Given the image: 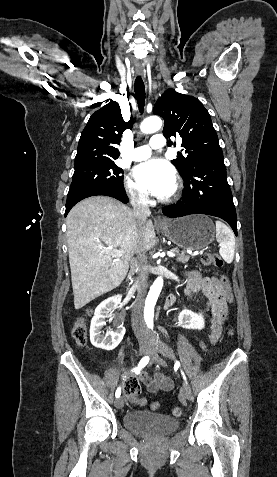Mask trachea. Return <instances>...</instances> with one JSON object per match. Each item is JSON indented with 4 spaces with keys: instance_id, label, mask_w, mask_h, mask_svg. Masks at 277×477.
I'll return each mask as SVG.
<instances>
[{
    "instance_id": "3493384b",
    "label": "trachea",
    "mask_w": 277,
    "mask_h": 477,
    "mask_svg": "<svg viewBox=\"0 0 277 477\" xmlns=\"http://www.w3.org/2000/svg\"><path fill=\"white\" fill-rule=\"evenodd\" d=\"M135 97L139 111L143 113L145 104V86L141 76H137L134 83Z\"/></svg>"
}]
</instances>
